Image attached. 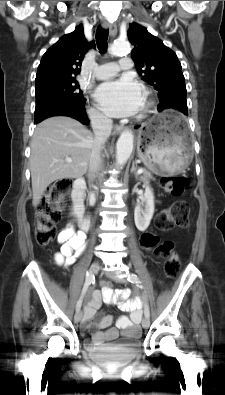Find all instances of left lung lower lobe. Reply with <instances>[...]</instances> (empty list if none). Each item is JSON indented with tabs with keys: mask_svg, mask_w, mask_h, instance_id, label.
I'll list each match as a JSON object with an SVG mask.
<instances>
[{
	"mask_svg": "<svg viewBox=\"0 0 225 395\" xmlns=\"http://www.w3.org/2000/svg\"><path fill=\"white\" fill-rule=\"evenodd\" d=\"M164 109H176V110H179L180 107L178 105H176V104H173V103L165 104L162 107L160 105H158V111L159 112L163 111ZM185 115H187V114H185ZM135 128H138V127H135Z\"/></svg>",
	"mask_w": 225,
	"mask_h": 395,
	"instance_id": "0a47b994",
	"label": "left lung lower lobe"
}]
</instances>
